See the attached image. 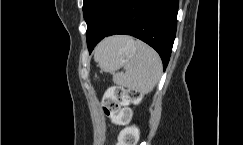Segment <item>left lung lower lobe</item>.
<instances>
[{"label": "left lung lower lobe", "instance_id": "obj_1", "mask_svg": "<svg viewBox=\"0 0 243 145\" xmlns=\"http://www.w3.org/2000/svg\"><path fill=\"white\" fill-rule=\"evenodd\" d=\"M178 3V0H126L109 26L103 27L98 22L87 25L89 52L106 36L131 35L153 47L165 69L176 35Z\"/></svg>", "mask_w": 243, "mask_h": 145}]
</instances>
